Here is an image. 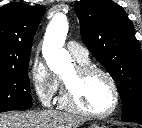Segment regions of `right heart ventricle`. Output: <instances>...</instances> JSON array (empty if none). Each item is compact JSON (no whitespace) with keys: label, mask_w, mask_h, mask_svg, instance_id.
I'll list each match as a JSON object with an SVG mask.
<instances>
[{"label":"right heart ventricle","mask_w":142,"mask_h":128,"mask_svg":"<svg viewBox=\"0 0 142 128\" xmlns=\"http://www.w3.org/2000/svg\"><path fill=\"white\" fill-rule=\"evenodd\" d=\"M79 62V64H82V65H88V63H89V61H78Z\"/></svg>","instance_id":"right-heart-ventricle-1"}]
</instances>
